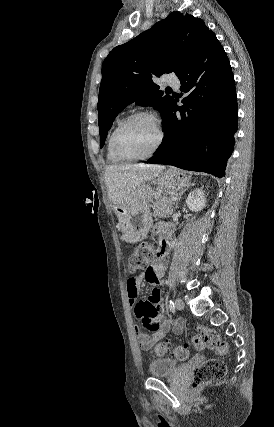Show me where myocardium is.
Instances as JSON below:
<instances>
[{"instance_id": "f54148a6", "label": "myocardium", "mask_w": 274, "mask_h": 427, "mask_svg": "<svg viewBox=\"0 0 274 427\" xmlns=\"http://www.w3.org/2000/svg\"><path fill=\"white\" fill-rule=\"evenodd\" d=\"M139 118H147L156 124L159 130V139L156 146L148 154L143 156H128V155H125L118 146V135L124 127H126L132 121ZM165 140H166V133L162 124L159 122V120L152 113H149L146 111H139L128 116L125 120L119 123L118 126L114 129L111 135V147L115 155L121 160H123L124 162L144 161L155 156L163 147Z\"/></svg>"}]
</instances>
